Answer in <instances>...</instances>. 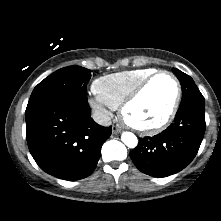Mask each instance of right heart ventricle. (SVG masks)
<instances>
[{"label": "right heart ventricle", "mask_w": 221, "mask_h": 221, "mask_svg": "<svg viewBox=\"0 0 221 221\" xmlns=\"http://www.w3.org/2000/svg\"><path fill=\"white\" fill-rule=\"evenodd\" d=\"M155 71L154 68H138L104 75L93 82L92 89L98 99L116 109L143 79Z\"/></svg>", "instance_id": "obj_1"}]
</instances>
